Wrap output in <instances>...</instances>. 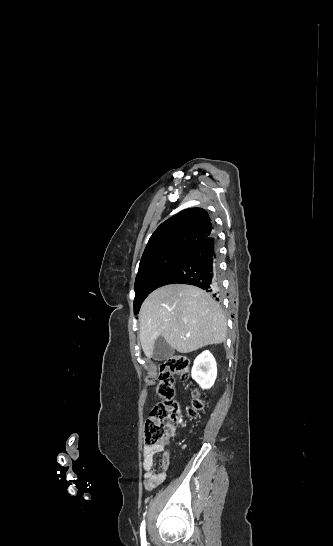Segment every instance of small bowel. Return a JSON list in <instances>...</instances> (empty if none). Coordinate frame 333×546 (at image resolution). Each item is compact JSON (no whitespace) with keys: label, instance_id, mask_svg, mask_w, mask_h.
I'll use <instances>...</instances> for the list:
<instances>
[{"label":"small bowel","instance_id":"small-bowel-1","mask_svg":"<svg viewBox=\"0 0 333 546\" xmlns=\"http://www.w3.org/2000/svg\"><path fill=\"white\" fill-rule=\"evenodd\" d=\"M161 454L159 467L155 464L156 455ZM170 465V454L164 445H147L143 449V462L145 487L148 490L162 484L166 477Z\"/></svg>","mask_w":333,"mask_h":546}]
</instances>
